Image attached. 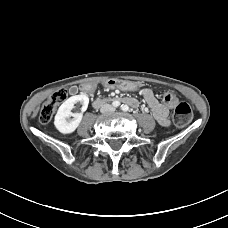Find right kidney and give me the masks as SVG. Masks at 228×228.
I'll list each match as a JSON object with an SVG mask.
<instances>
[{"label":"right kidney","mask_w":228,"mask_h":228,"mask_svg":"<svg viewBox=\"0 0 228 228\" xmlns=\"http://www.w3.org/2000/svg\"><path fill=\"white\" fill-rule=\"evenodd\" d=\"M76 103L82 105L81 113H73L71 110ZM89 98L87 95L80 94L68 98L58 109L55 115V128L62 134H70L79 126L83 112L87 110ZM73 117V118H71Z\"/></svg>","instance_id":"right-kidney-1"}]
</instances>
